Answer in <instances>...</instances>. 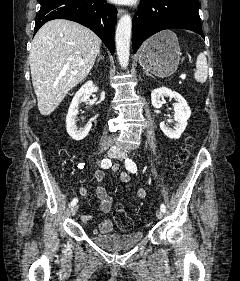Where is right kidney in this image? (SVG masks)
Segmentation results:
<instances>
[{"label":"right kidney","mask_w":240,"mask_h":281,"mask_svg":"<svg viewBox=\"0 0 240 281\" xmlns=\"http://www.w3.org/2000/svg\"><path fill=\"white\" fill-rule=\"evenodd\" d=\"M97 91L98 87L92 81H88L77 91V93L72 99L66 117V129L67 133L71 136L73 140H83L88 135L92 127V124L89 123L86 125V127L78 129L76 126L75 119L79 113V105L89 100V97Z\"/></svg>","instance_id":"ca27d5eb"}]
</instances>
